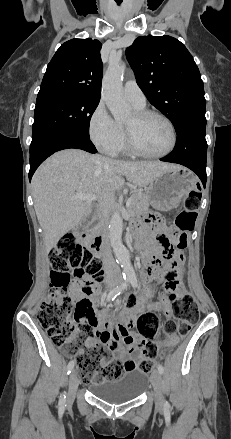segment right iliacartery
<instances>
[{"mask_svg":"<svg viewBox=\"0 0 231 439\" xmlns=\"http://www.w3.org/2000/svg\"><path fill=\"white\" fill-rule=\"evenodd\" d=\"M130 282V279H125L124 280V282L120 285V286H117L116 288H114V289H112L110 292H109V294H108V296H107V300L108 301H110V300H114L126 287H127V285H128V283ZM74 361L72 360V361H70L69 363H68V366H67V369H68V371H67V374H70L71 373V371H72V369L74 368ZM65 402H66V395L63 393L61 396H60V400H59V405L61 406V407H64L65 406Z\"/></svg>","mask_w":231,"mask_h":439,"instance_id":"1","label":"right iliac artery"}]
</instances>
